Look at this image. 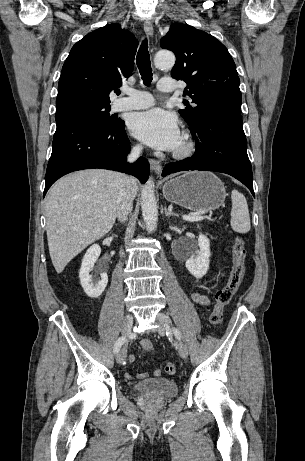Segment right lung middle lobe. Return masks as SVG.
Here are the masks:
<instances>
[{
    "label": "right lung middle lobe",
    "mask_w": 305,
    "mask_h": 461,
    "mask_svg": "<svg viewBox=\"0 0 305 461\" xmlns=\"http://www.w3.org/2000/svg\"><path fill=\"white\" fill-rule=\"evenodd\" d=\"M109 103H78L56 109V121L64 118L84 120L90 124L109 127L120 121L109 114Z\"/></svg>",
    "instance_id": "dd1d6c3e"
}]
</instances>
